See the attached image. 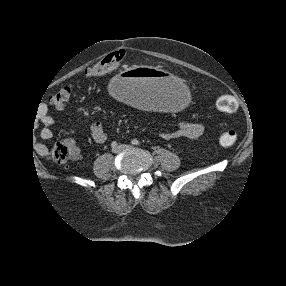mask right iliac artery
<instances>
[{"label":"right iliac artery","mask_w":286,"mask_h":286,"mask_svg":"<svg viewBox=\"0 0 286 286\" xmlns=\"http://www.w3.org/2000/svg\"><path fill=\"white\" fill-rule=\"evenodd\" d=\"M117 142H115V141H113L112 143H111V146L113 147V148H115V147H117Z\"/></svg>","instance_id":"82829eb1"}]
</instances>
